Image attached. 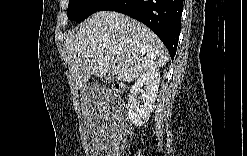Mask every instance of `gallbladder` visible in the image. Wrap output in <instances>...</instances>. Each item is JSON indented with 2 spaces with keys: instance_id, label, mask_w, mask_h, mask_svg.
Here are the masks:
<instances>
[{
  "instance_id": "gallbladder-1",
  "label": "gallbladder",
  "mask_w": 247,
  "mask_h": 156,
  "mask_svg": "<svg viewBox=\"0 0 247 156\" xmlns=\"http://www.w3.org/2000/svg\"><path fill=\"white\" fill-rule=\"evenodd\" d=\"M112 80V77L110 76V75H107V77H106V81H111Z\"/></svg>"
}]
</instances>
